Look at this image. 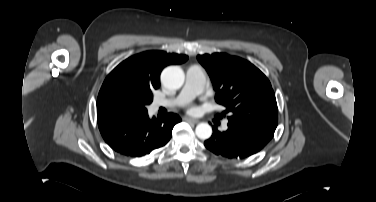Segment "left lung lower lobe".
I'll use <instances>...</instances> for the list:
<instances>
[{"label":"left lung lower lobe","mask_w":376,"mask_h":202,"mask_svg":"<svg viewBox=\"0 0 376 202\" xmlns=\"http://www.w3.org/2000/svg\"><path fill=\"white\" fill-rule=\"evenodd\" d=\"M274 132L275 129L270 127L229 119L228 129L220 132L214 126L212 136L204 145L216 155L243 159L263 149Z\"/></svg>","instance_id":"1"}]
</instances>
